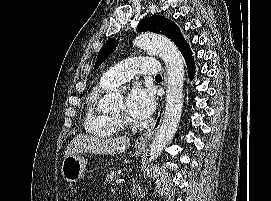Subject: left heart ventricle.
<instances>
[{"label": "left heart ventricle", "instance_id": "left-heart-ventricle-1", "mask_svg": "<svg viewBox=\"0 0 271 201\" xmlns=\"http://www.w3.org/2000/svg\"><path fill=\"white\" fill-rule=\"evenodd\" d=\"M124 111H125V105H124V103H123V102H121V103H120V105H119V107H118V111H117V113H119V114H123V113H124Z\"/></svg>", "mask_w": 271, "mask_h": 201}]
</instances>
